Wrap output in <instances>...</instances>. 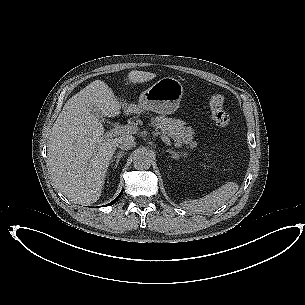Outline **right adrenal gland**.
Returning <instances> with one entry per match:
<instances>
[{"instance_id":"obj_1","label":"right adrenal gland","mask_w":305,"mask_h":305,"mask_svg":"<svg viewBox=\"0 0 305 305\" xmlns=\"http://www.w3.org/2000/svg\"><path fill=\"white\" fill-rule=\"evenodd\" d=\"M125 154H126V153H125L124 151L117 152V153L112 157L111 163H113V162L115 161V159H116V164H115V166L117 167V165H118L120 159H121L123 156H125ZM112 165H113V164H112Z\"/></svg>"}]
</instances>
